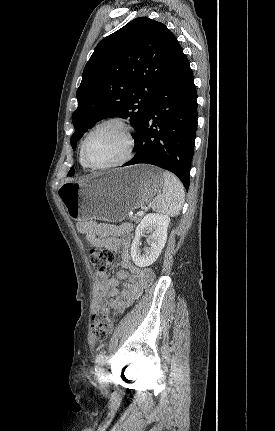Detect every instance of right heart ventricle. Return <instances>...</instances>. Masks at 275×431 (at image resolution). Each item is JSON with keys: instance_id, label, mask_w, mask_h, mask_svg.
I'll return each mask as SVG.
<instances>
[{"instance_id": "e07e8e85", "label": "right heart ventricle", "mask_w": 275, "mask_h": 431, "mask_svg": "<svg viewBox=\"0 0 275 431\" xmlns=\"http://www.w3.org/2000/svg\"><path fill=\"white\" fill-rule=\"evenodd\" d=\"M80 162L85 167L84 163L82 162L81 156H80Z\"/></svg>"}]
</instances>
